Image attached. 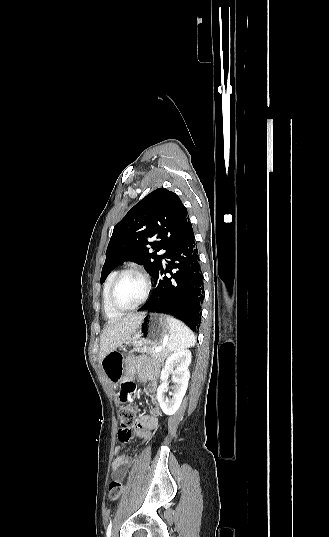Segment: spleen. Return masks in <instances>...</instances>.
<instances>
[{"label": "spleen", "instance_id": "spleen-1", "mask_svg": "<svg viewBox=\"0 0 329 537\" xmlns=\"http://www.w3.org/2000/svg\"><path fill=\"white\" fill-rule=\"evenodd\" d=\"M169 325L170 335L167 342L168 351H180L195 345V336L184 323L174 317H169Z\"/></svg>", "mask_w": 329, "mask_h": 537}]
</instances>
